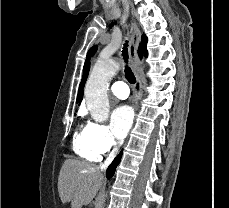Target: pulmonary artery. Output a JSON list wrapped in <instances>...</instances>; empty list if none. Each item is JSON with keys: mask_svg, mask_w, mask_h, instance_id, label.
Listing matches in <instances>:
<instances>
[{"mask_svg": "<svg viewBox=\"0 0 229 208\" xmlns=\"http://www.w3.org/2000/svg\"><path fill=\"white\" fill-rule=\"evenodd\" d=\"M111 78H113V77H111ZM110 90H111L113 95H115L117 98H120V99H125L129 96L128 86L123 81L114 82L111 85Z\"/></svg>", "mask_w": 229, "mask_h": 208, "instance_id": "obj_1", "label": "pulmonary artery"}]
</instances>
